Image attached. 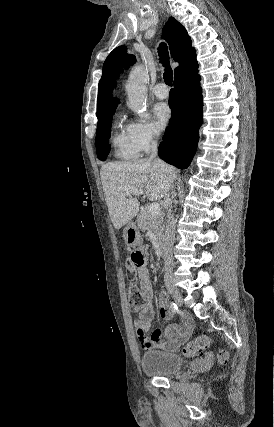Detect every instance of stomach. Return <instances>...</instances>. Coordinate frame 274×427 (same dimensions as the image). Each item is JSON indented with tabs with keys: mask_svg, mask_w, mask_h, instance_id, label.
<instances>
[{
	"mask_svg": "<svg viewBox=\"0 0 274 427\" xmlns=\"http://www.w3.org/2000/svg\"><path fill=\"white\" fill-rule=\"evenodd\" d=\"M123 237L126 245H129V247H135V245L142 243L141 233L135 221H128L126 227L123 229Z\"/></svg>",
	"mask_w": 274,
	"mask_h": 427,
	"instance_id": "1",
	"label": "stomach"
}]
</instances>
